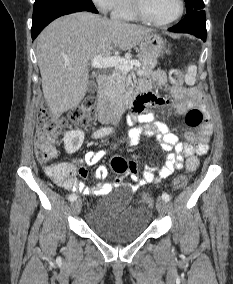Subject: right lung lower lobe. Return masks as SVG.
Segmentation results:
<instances>
[{
  "instance_id": "obj_1",
  "label": "right lung lower lobe",
  "mask_w": 233,
  "mask_h": 284,
  "mask_svg": "<svg viewBox=\"0 0 233 284\" xmlns=\"http://www.w3.org/2000/svg\"><path fill=\"white\" fill-rule=\"evenodd\" d=\"M80 11H90V10H87V9H57V10L48 12L36 19H33L32 29H31L32 38L35 39L37 35L41 32V30L54 19L60 16H63V15H66V14L80 12ZM94 13H97V12H94Z\"/></svg>"
}]
</instances>
